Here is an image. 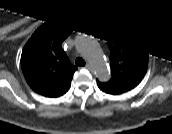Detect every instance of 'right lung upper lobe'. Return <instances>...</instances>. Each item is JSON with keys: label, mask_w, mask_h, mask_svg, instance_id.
<instances>
[{"label": "right lung upper lobe", "mask_w": 172, "mask_h": 134, "mask_svg": "<svg viewBox=\"0 0 172 134\" xmlns=\"http://www.w3.org/2000/svg\"><path fill=\"white\" fill-rule=\"evenodd\" d=\"M70 34L67 26L49 22L28 40L21 55V67L29 86L46 97H59L70 86L76 67L71 65L61 44Z\"/></svg>", "instance_id": "cb5924a9"}]
</instances>
